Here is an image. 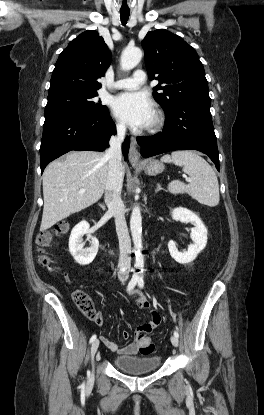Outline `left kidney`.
Instances as JSON below:
<instances>
[{
    "instance_id": "left-kidney-1",
    "label": "left kidney",
    "mask_w": 264,
    "mask_h": 415,
    "mask_svg": "<svg viewBox=\"0 0 264 415\" xmlns=\"http://www.w3.org/2000/svg\"><path fill=\"white\" fill-rule=\"evenodd\" d=\"M172 218L174 220H180L194 225L190 235L193 244L188 246L187 251H179L173 240L168 242V249L171 257L180 264H188L195 260L197 255L206 247L207 229L201 219L187 208H174L172 210Z\"/></svg>"
}]
</instances>
